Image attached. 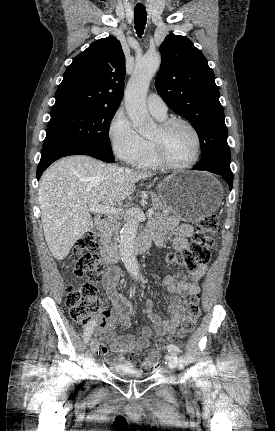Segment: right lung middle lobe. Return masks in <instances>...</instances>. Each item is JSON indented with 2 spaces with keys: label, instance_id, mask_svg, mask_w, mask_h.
Returning <instances> with one entry per match:
<instances>
[{
  "label": "right lung middle lobe",
  "instance_id": "right-lung-middle-lobe-1",
  "mask_svg": "<svg viewBox=\"0 0 275 431\" xmlns=\"http://www.w3.org/2000/svg\"><path fill=\"white\" fill-rule=\"evenodd\" d=\"M116 110L117 108H80L50 113L44 144L82 142L112 152L109 124Z\"/></svg>",
  "mask_w": 275,
  "mask_h": 431
}]
</instances>
